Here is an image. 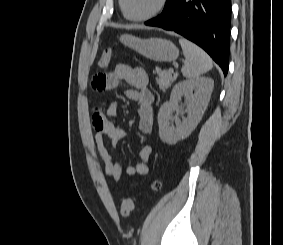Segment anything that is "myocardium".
<instances>
[{"mask_svg":"<svg viewBox=\"0 0 283 245\" xmlns=\"http://www.w3.org/2000/svg\"><path fill=\"white\" fill-rule=\"evenodd\" d=\"M124 1L125 0H119V4H120L122 14L127 20L133 21V22H143V21H147V20H150V19L156 17L157 15H159L165 9L167 2H168V0H159L156 8L153 11H151L150 13H148L147 15L140 16V17H132V16L127 14Z\"/></svg>","mask_w":283,"mask_h":245,"instance_id":"f54148a6","label":"myocardium"}]
</instances>
